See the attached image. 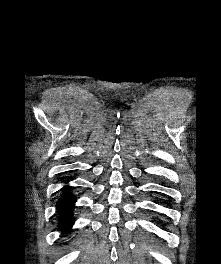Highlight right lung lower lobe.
<instances>
[{"instance_id": "1", "label": "right lung lower lobe", "mask_w": 221, "mask_h": 264, "mask_svg": "<svg viewBox=\"0 0 221 264\" xmlns=\"http://www.w3.org/2000/svg\"><path fill=\"white\" fill-rule=\"evenodd\" d=\"M63 195L57 202V209L60 215L59 228L63 231H68L73 223L72 210L76 198L70 193L69 188L65 187Z\"/></svg>"}]
</instances>
